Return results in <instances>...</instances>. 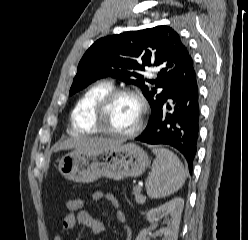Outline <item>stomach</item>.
I'll list each match as a JSON object with an SVG mask.
<instances>
[{"label":"stomach","instance_id":"stomach-1","mask_svg":"<svg viewBox=\"0 0 248 240\" xmlns=\"http://www.w3.org/2000/svg\"><path fill=\"white\" fill-rule=\"evenodd\" d=\"M149 164L148 155L141 147L127 143L99 151L74 150L60 159L58 170L68 180L91 183L101 177L114 180L138 177Z\"/></svg>","mask_w":248,"mask_h":240}]
</instances>
